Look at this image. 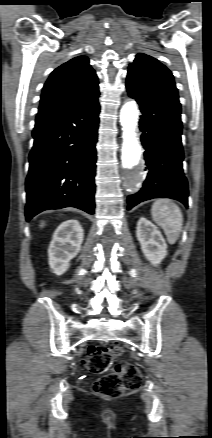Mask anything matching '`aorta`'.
<instances>
[{
    "instance_id": "obj_1",
    "label": "aorta",
    "mask_w": 212,
    "mask_h": 438,
    "mask_svg": "<svg viewBox=\"0 0 212 438\" xmlns=\"http://www.w3.org/2000/svg\"><path fill=\"white\" fill-rule=\"evenodd\" d=\"M137 104L134 101L126 102L120 110V123L123 130L122 165L132 169L139 164L142 148L136 134L138 121Z\"/></svg>"
}]
</instances>
